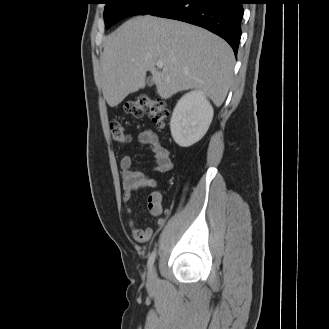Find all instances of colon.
<instances>
[{
  "instance_id": "colon-1",
  "label": "colon",
  "mask_w": 329,
  "mask_h": 329,
  "mask_svg": "<svg viewBox=\"0 0 329 329\" xmlns=\"http://www.w3.org/2000/svg\"><path fill=\"white\" fill-rule=\"evenodd\" d=\"M126 114L136 120H140L144 115H148L159 127H165L170 119V111L167 105L159 99H153L145 94L138 95L135 99L127 101L124 105ZM110 130L115 142L126 144L129 136L124 126L117 122L110 123Z\"/></svg>"
}]
</instances>
